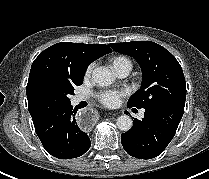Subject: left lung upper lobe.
Wrapping results in <instances>:
<instances>
[{"instance_id":"obj_1","label":"left lung upper lobe","mask_w":209,"mask_h":179,"mask_svg":"<svg viewBox=\"0 0 209 179\" xmlns=\"http://www.w3.org/2000/svg\"><path fill=\"white\" fill-rule=\"evenodd\" d=\"M109 45L115 51L136 59L143 72L142 86L130 97L127 105L146 108L159 104H185L184 74L178 61L168 50L149 41Z\"/></svg>"}]
</instances>
